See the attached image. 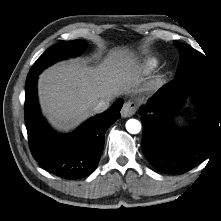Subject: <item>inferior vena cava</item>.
Returning a JSON list of instances; mask_svg holds the SVG:
<instances>
[{"label": "inferior vena cava", "instance_id": "obj_1", "mask_svg": "<svg viewBox=\"0 0 221 221\" xmlns=\"http://www.w3.org/2000/svg\"><path fill=\"white\" fill-rule=\"evenodd\" d=\"M110 106V100H100L93 108L94 113H102L106 111Z\"/></svg>", "mask_w": 221, "mask_h": 221}]
</instances>
